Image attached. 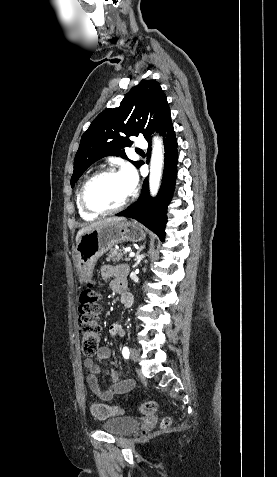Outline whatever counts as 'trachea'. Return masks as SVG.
I'll return each instance as SVG.
<instances>
[{
    "label": "trachea",
    "mask_w": 277,
    "mask_h": 477,
    "mask_svg": "<svg viewBox=\"0 0 277 477\" xmlns=\"http://www.w3.org/2000/svg\"><path fill=\"white\" fill-rule=\"evenodd\" d=\"M136 151H137V152H142V150H139V149H137Z\"/></svg>",
    "instance_id": "trachea-1"
}]
</instances>
